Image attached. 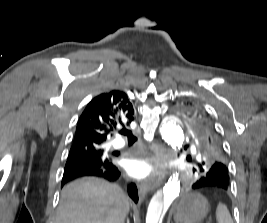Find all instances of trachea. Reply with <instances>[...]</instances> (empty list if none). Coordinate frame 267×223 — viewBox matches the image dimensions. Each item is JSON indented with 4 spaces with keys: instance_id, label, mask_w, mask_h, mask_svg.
Returning a JSON list of instances; mask_svg holds the SVG:
<instances>
[{
    "instance_id": "3493384b",
    "label": "trachea",
    "mask_w": 267,
    "mask_h": 223,
    "mask_svg": "<svg viewBox=\"0 0 267 223\" xmlns=\"http://www.w3.org/2000/svg\"><path fill=\"white\" fill-rule=\"evenodd\" d=\"M120 134L127 136L129 143H134L137 140V137L133 135L131 130L123 129L120 131Z\"/></svg>"
}]
</instances>
